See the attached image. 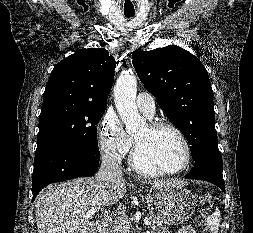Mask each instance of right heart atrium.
<instances>
[{
  "mask_svg": "<svg viewBox=\"0 0 253 233\" xmlns=\"http://www.w3.org/2000/svg\"><path fill=\"white\" fill-rule=\"evenodd\" d=\"M98 141L100 151L117 162L122 161L133 146L132 138L113 114H106L100 121Z\"/></svg>",
  "mask_w": 253,
  "mask_h": 233,
  "instance_id": "obj_1",
  "label": "right heart atrium"
}]
</instances>
